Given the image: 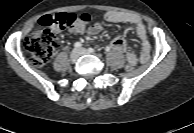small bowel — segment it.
<instances>
[{
    "label": "small bowel",
    "mask_w": 194,
    "mask_h": 133,
    "mask_svg": "<svg viewBox=\"0 0 194 133\" xmlns=\"http://www.w3.org/2000/svg\"><path fill=\"white\" fill-rule=\"evenodd\" d=\"M104 19L111 23H129L134 25L136 34L141 42L140 53L137 55L133 50H129L124 38L118 36L112 40L107 47L108 50L113 49L118 52H126V59L128 64L133 66L139 63L144 64L149 60L151 45L148 40L147 28L142 19L133 13L123 11H109L104 15ZM102 30V24L95 22L88 29L90 34H97Z\"/></svg>",
    "instance_id": "obj_1"
}]
</instances>
